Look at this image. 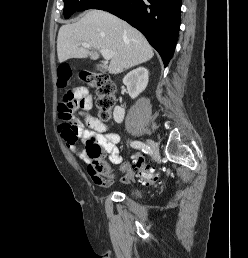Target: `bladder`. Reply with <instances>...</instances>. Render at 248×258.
I'll use <instances>...</instances> for the list:
<instances>
[{
    "mask_svg": "<svg viewBox=\"0 0 248 258\" xmlns=\"http://www.w3.org/2000/svg\"><path fill=\"white\" fill-rule=\"evenodd\" d=\"M131 194L135 197L140 196V191L138 189H132Z\"/></svg>",
    "mask_w": 248,
    "mask_h": 258,
    "instance_id": "31cf9c89",
    "label": "bladder"
}]
</instances>
